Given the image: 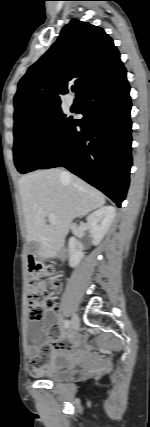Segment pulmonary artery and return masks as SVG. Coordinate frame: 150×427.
<instances>
[{"label":"pulmonary artery","mask_w":150,"mask_h":427,"mask_svg":"<svg viewBox=\"0 0 150 427\" xmlns=\"http://www.w3.org/2000/svg\"><path fill=\"white\" fill-rule=\"evenodd\" d=\"M65 103H66V105H67L68 107H71V106L73 105V103H74V99L72 98V96L67 95V96L65 97Z\"/></svg>","instance_id":"1"}]
</instances>
